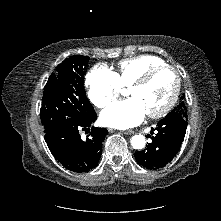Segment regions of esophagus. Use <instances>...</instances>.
Returning <instances> with one entry per match:
<instances>
[{
  "mask_svg": "<svg viewBox=\"0 0 221 221\" xmlns=\"http://www.w3.org/2000/svg\"><path fill=\"white\" fill-rule=\"evenodd\" d=\"M123 134H126V135H132L134 134V131L132 130H127V131H122Z\"/></svg>",
  "mask_w": 221,
  "mask_h": 221,
  "instance_id": "34e87169",
  "label": "esophagus"
}]
</instances>
